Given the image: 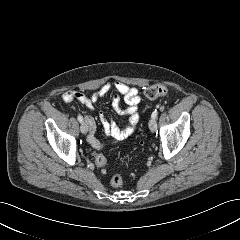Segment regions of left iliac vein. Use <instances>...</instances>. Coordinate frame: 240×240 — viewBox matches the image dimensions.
I'll list each match as a JSON object with an SVG mask.
<instances>
[{"label":"left iliac vein","mask_w":240,"mask_h":240,"mask_svg":"<svg viewBox=\"0 0 240 240\" xmlns=\"http://www.w3.org/2000/svg\"><path fill=\"white\" fill-rule=\"evenodd\" d=\"M148 125H149V129L151 130V132H155L157 130V123H156L155 119L151 118L149 120Z\"/></svg>","instance_id":"4c4485c4"}]
</instances>
